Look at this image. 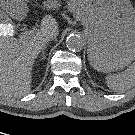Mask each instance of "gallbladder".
Listing matches in <instances>:
<instances>
[{"mask_svg":"<svg viewBox=\"0 0 135 135\" xmlns=\"http://www.w3.org/2000/svg\"><path fill=\"white\" fill-rule=\"evenodd\" d=\"M4 12L0 10V23H6V21L3 20Z\"/></svg>","mask_w":135,"mask_h":135,"instance_id":"bac80fb5","label":"gallbladder"}]
</instances>
